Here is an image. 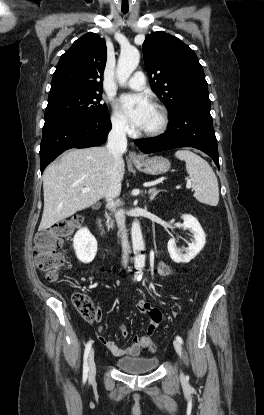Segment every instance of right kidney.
I'll return each instance as SVG.
<instances>
[{
  "instance_id": "right-kidney-1",
  "label": "right kidney",
  "mask_w": 264,
  "mask_h": 415,
  "mask_svg": "<svg viewBox=\"0 0 264 415\" xmlns=\"http://www.w3.org/2000/svg\"><path fill=\"white\" fill-rule=\"evenodd\" d=\"M73 247L79 261L88 264L92 262L97 253V240L84 227L77 231L73 239Z\"/></svg>"
}]
</instances>
